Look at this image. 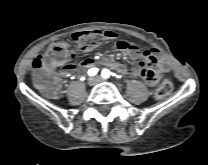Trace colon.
Instances as JSON below:
<instances>
[{"instance_id": "colon-1", "label": "colon", "mask_w": 208, "mask_h": 165, "mask_svg": "<svg viewBox=\"0 0 208 165\" xmlns=\"http://www.w3.org/2000/svg\"><path fill=\"white\" fill-rule=\"evenodd\" d=\"M73 40L80 51H89L97 47L103 40L99 31H82L73 35ZM75 51L64 42L52 44L46 54L38 55L32 62V79L34 85L45 95L55 97L60 91V81L55 72L61 64L72 61ZM173 89L169 78H164L155 92L157 99L168 96Z\"/></svg>"}]
</instances>
